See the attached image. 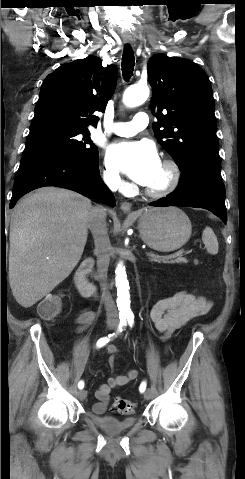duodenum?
<instances>
[{
    "mask_svg": "<svg viewBox=\"0 0 245 479\" xmlns=\"http://www.w3.org/2000/svg\"><path fill=\"white\" fill-rule=\"evenodd\" d=\"M93 266V261L91 259H86L76 270L74 276V283L79 292L86 297L95 296L97 293L96 286L91 283L88 278V272Z\"/></svg>",
    "mask_w": 245,
    "mask_h": 479,
    "instance_id": "duodenum-1",
    "label": "duodenum"
}]
</instances>
